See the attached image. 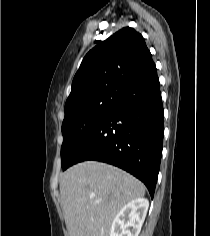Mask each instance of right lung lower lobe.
<instances>
[{"instance_id": "1", "label": "right lung lower lobe", "mask_w": 210, "mask_h": 236, "mask_svg": "<svg viewBox=\"0 0 210 236\" xmlns=\"http://www.w3.org/2000/svg\"><path fill=\"white\" fill-rule=\"evenodd\" d=\"M163 118L155 70L121 93L63 170L86 160L109 163L140 179L153 198L162 156Z\"/></svg>"}]
</instances>
